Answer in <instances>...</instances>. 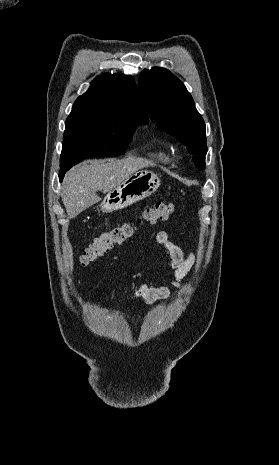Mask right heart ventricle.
I'll list each match as a JSON object with an SVG mask.
<instances>
[{
    "mask_svg": "<svg viewBox=\"0 0 279 465\" xmlns=\"http://www.w3.org/2000/svg\"><path fill=\"white\" fill-rule=\"evenodd\" d=\"M154 154L162 161H169V159H170V156L168 155V153L165 150L161 149V148L157 149L154 152Z\"/></svg>",
    "mask_w": 279,
    "mask_h": 465,
    "instance_id": "1",
    "label": "right heart ventricle"
}]
</instances>
